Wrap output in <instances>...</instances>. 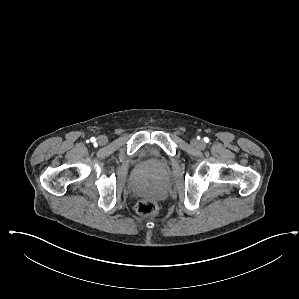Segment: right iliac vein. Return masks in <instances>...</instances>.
Returning a JSON list of instances; mask_svg holds the SVG:
<instances>
[{"mask_svg": "<svg viewBox=\"0 0 299 299\" xmlns=\"http://www.w3.org/2000/svg\"><path fill=\"white\" fill-rule=\"evenodd\" d=\"M108 139L105 135H100L97 138V143L101 146L105 145L107 143Z\"/></svg>", "mask_w": 299, "mask_h": 299, "instance_id": "right-iliac-vein-1", "label": "right iliac vein"}]
</instances>
